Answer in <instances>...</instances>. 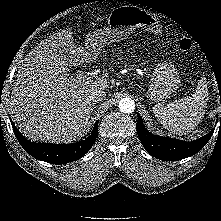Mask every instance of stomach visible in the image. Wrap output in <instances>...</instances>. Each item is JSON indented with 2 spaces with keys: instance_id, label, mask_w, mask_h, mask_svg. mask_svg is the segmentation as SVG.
Returning <instances> with one entry per match:
<instances>
[{
  "instance_id": "0dacf381",
  "label": "stomach",
  "mask_w": 221,
  "mask_h": 221,
  "mask_svg": "<svg viewBox=\"0 0 221 221\" xmlns=\"http://www.w3.org/2000/svg\"><path fill=\"white\" fill-rule=\"evenodd\" d=\"M106 28L87 35L84 49L97 54L104 46L126 39L137 28L142 27L154 35H159V21L146 10L136 6H119L112 10ZM180 86V78L170 62L159 63L151 75L147 97L161 102L169 98Z\"/></svg>"
}]
</instances>
